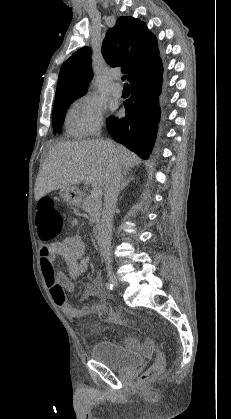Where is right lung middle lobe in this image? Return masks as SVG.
<instances>
[{
  "label": "right lung middle lobe",
  "mask_w": 231,
  "mask_h": 419,
  "mask_svg": "<svg viewBox=\"0 0 231 419\" xmlns=\"http://www.w3.org/2000/svg\"><path fill=\"white\" fill-rule=\"evenodd\" d=\"M74 99L75 98H68V99L60 100L54 103V108H53V113H52V116H53L52 123H53L54 133H59L61 131L66 111L69 108L70 103Z\"/></svg>",
  "instance_id": "dd1d6c3e"
}]
</instances>
